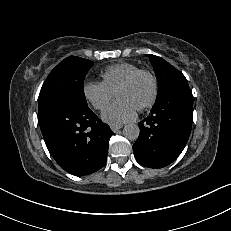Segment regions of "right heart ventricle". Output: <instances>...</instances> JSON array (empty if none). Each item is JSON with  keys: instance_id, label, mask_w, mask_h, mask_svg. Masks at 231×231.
Segmentation results:
<instances>
[{"instance_id": "e07e8e85", "label": "right heart ventricle", "mask_w": 231, "mask_h": 231, "mask_svg": "<svg viewBox=\"0 0 231 231\" xmlns=\"http://www.w3.org/2000/svg\"><path fill=\"white\" fill-rule=\"evenodd\" d=\"M138 69L139 66L128 62L112 64L101 71L102 83L115 93L121 82Z\"/></svg>"}]
</instances>
